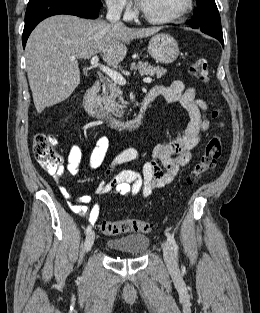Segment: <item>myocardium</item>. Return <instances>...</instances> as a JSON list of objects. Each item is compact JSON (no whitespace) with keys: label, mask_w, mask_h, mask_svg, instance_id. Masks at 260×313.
I'll list each match as a JSON object with an SVG mask.
<instances>
[{"label":"myocardium","mask_w":260,"mask_h":313,"mask_svg":"<svg viewBox=\"0 0 260 313\" xmlns=\"http://www.w3.org/2000/svg\"><path fill=\"white\" fill-rule=\"evenodd\" d=\"M194 0H186L184 7L178 11L176 14L168 17H154L147 13L141 6H139L141 16L148 22L155 24H169L174 23L182 19L186 14H188L193 8Z\"/></svg>","instance_id":"f54148a6"}]
</instances>
